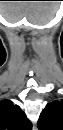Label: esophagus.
Returning <instances> with one entry per match:
<instances>
[{"instance_id": "esophagus-1", "label": "esophagus", "mask_w": 63, "mask_h": 130, "mask_svg": "<svg viewBox=\"0 0 63 130\" xmlns=\"http://www.w3.org/2000/svg\"><path fill=\"white\" fill-rule=\"evenodd\" d=\"M33 129L36 130V127L34 126Z\"/></svg>"}]
</instances>
